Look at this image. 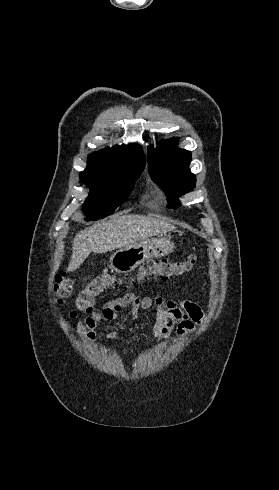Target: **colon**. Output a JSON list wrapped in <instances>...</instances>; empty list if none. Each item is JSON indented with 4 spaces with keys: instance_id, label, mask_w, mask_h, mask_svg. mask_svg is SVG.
<instances>
[{
    "instance_id": "colon-1",
    "label": "colon",
    "mask_w": 279,
    "mask_h": 490,
    "mask_svg": "<svg viewBox=\"0 0 279 490\" xmlns=\"http://www.w3.org/2000/svg\"><path fill=\"white\" fill-rule=\"evenodd\" d=\"M197 256L192 254L182 261L150 260L144 263L135 278L113 273H104L88 281L75 298V306L71 317L79 313H89L93 309L94 300L106 290L115 286H128L131 281L144 282L154 277L167 280L171 277L181 276L194 268ZM73 288V281L65 275H59L54 284V297L61 301L67 298Z\"/></svg>"
}]
</instances>
